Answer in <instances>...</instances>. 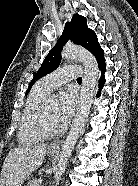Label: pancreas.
<instances>
[{
  "label": "pancreas",
  "mask_w": 138,
  "mask_h": 186,
  "mask_svg": "<svg viewBox=\"0 0 138 186\" xmlns=\"http://www.w3.org/2000/svg\"><path fill=\"white\" fill-rule=\"evenodd\" d=\"M28 186H40L39 180L38 179L31 180Z\"/></svg>",
  "instance_id": "obj_1"
}]
</instances>
